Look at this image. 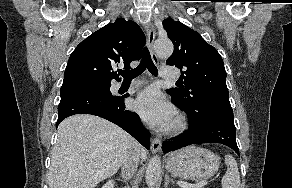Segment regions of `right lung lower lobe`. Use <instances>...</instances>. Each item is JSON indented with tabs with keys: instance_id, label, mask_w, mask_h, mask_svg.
<instances>
[{
	"instance_id": "right-lung-lower-lobe-1",
	"label": "right lung lower lobe",
	"mask_w": 292,
	"mask_h": 188,
	"mask_svg": "<svg viewBox=\"0 0 292 188\" xmlns=\"http://www.w3.org/2000/svg\"><path fill=\"white\" fill-rule=\"evenodd\" d=\"M60 94L56 128L68 116L92 114L115 123L149 149V132L144 128L139 116L125 108L124 98L128 95L116 96L110 91L78 83L63 84Z\"/></svg>"
}]
</instances>
